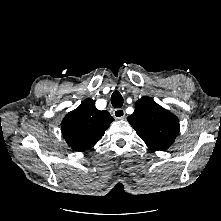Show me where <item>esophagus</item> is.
Here are the masks:
<instances>
[{
    "label": "esophagus",
    "mask_w": 221,
    "mask_h": 221,
    "mask_svg": "<svg viewBox=\"0 0 221 221\" xmlns=\"http://www.w3.org/2000/svg\"><path fill=\"white\" fill-rule=\"evenodd\" d=\"M113 116L115 119H123L125 117V110L122 108H116L113 110Z\"/></svg>",
    "instance_id": "1"
}]
</instances>
